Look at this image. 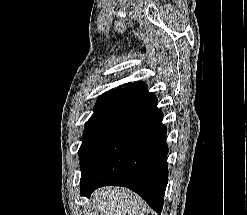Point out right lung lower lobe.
<instances>
[{
  "instance_id": "1",
  "label": "right lung lower lobe",
  "mask_w": 247,
  "mask_h": 215,
  "mask_svg": "<svg viewBox=\"0 0 247 215\" xmlns=\"http://www.w3.org/2000/svg\"><path fill=\"white\" fill-rule=\"evenodd\" d=\"M157 98L144 82L125 89L79 149L80 194L124 186L161 213L168 182L166 127Z\"/></svg>"
}]
</instances>
